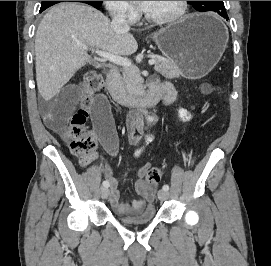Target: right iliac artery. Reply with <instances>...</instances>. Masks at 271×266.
Here are the masks:
<instances>
[{
	"label": "right iliac artery",
	"mask_w": 271,
	"mask_h": 266,
	"mask_svg": "<svg viewBox=\"0 0 271 266\" xmlns=\"http://www.w3.org/2000/svg\"><path fill=\"white\" fill-rule=\"evenodd\" d=\"M140 152H141V150H137L136 153H135V155H136V156L139 155ZM102 184H103V186L106 187V188L109 187V182H108L107 180L103 181Z\"/></svg>",
	"instance_id": "right-iliac-artery-1"
}]
</instances>
